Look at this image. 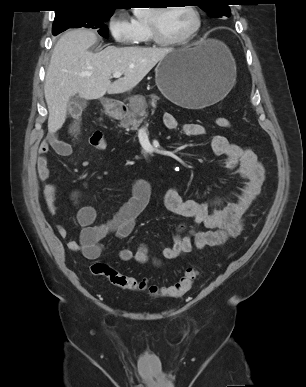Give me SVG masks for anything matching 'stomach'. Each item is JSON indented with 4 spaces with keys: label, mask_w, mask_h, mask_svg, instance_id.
<instances>
[{
    "label": "stomach",
    "mask_w": 306,
    "mask_h": 387,
    "mask_svg": "<svg viewBox=\"0 0 306 387\" xmlns=\"http://www.w3.org/2000/svg\"><path fill=\"white\" fill-rule=\"evenodd\" d=\"M235 80L236 67L229 49L214 39L169 52L155 69L161 93L189 109H201L223 99ZM103 106L108 115L119 114L112 101L104 100Z\"/></svg>",
    "instance_id": "1"
}]
</instances>
